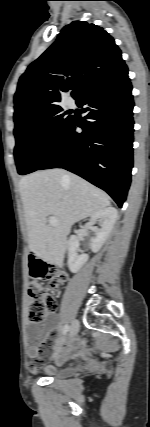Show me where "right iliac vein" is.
Masks as SVG:
<instances>
[{
	"label": "right iliac vein",
	"instance_id": "right-iliac-vein-1",
	"mask_svg": "<svg viewBox=\"0 0 150 427\" xmlns=\"http://www.w3.org/2000/svg\"><path fill=\"white\" fill-rule=\"evenodd\" d=\"M79 331V322L74 320L70 327V336H75Z\"/></svg>",
	"mask_w": 150,
	"mask_h": 427
}]
</instances>
